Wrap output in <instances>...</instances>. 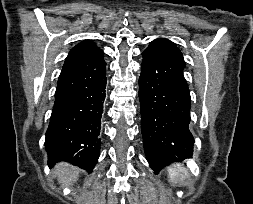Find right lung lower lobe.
Returning <instances> with one entry per match:
<instances>
[{
  "instance_id": "right-lung-lower-lobe-1",
  "label": "right lung lower lobe",
  "mask_w": 253,
  "mask_h": 204,
  "mask_svg": "<svg viewBox=\"0 0 253 204\" xmlns=\"http://www.w3.org/2000/svg\"><path fill=\"white\" fill-rule=\"evenodd\" d=\"M103 51L62 69L46 132L49 165L62 160L91 172L100 152V121L106 87Z\"/></svg>"
}]
</instances>
